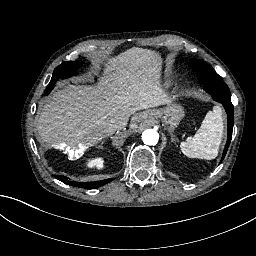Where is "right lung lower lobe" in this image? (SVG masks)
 Wrapping results in <instances>:
<instances>
[{
  "mask_svg": "<svg viewBox=\"0 0 256 256\" xmlns=\"http://www.w3.org/2000/svg\"><path fill=\"white\" fill-rule=\"evenodd\" d=\"M55 177L65 184L75 186V187H81V188H85V189H94V188L100 187L104 184H107L108 182L111 181V179H106V180L95 181V182L79 183V182L69 181L65 176H55Z\"/></svg>",
  "mask_w": 256,
  "mask_h": 256,
  "instance_id": "obj_1",
  "label": "right lung lower lobe"
}]
</instances>
